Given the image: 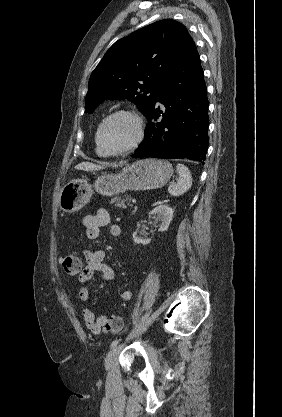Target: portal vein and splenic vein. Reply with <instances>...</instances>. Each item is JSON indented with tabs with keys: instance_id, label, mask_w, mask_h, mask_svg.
<instances>
[{
	"instance_id": "1",
	"label": "portal vein and splenic vein",
	"mask_w": 282,
	"mask_h": 417,
	"mask_svg": "<svg viewBox=\"0 0 282 417\" xmlns=\"http://www.w3.org/2000/svg\"><path fill=\"white\" fill-rule=\"evenodd\" d=\"M132 202H133V203H136V202H137V199H136V198H133V199H132Z\"/></svg>"
}]
</instances>
